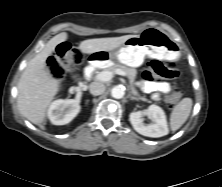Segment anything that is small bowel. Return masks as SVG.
<instances>
[{
  "label": "small bowel",
  "mask_w": 222,
  "mask_h": 187,
  "mask_svg": "<svg viewBox=\"0 0 222 187\" xmlns=\"http://www.w3.org/2000/svg\"><path fill=\"white\" fill-rule=\"evenodd\" d=\"M140 87L146 93H150L154 100H159L162 93L170 89V85L164 81H141Z\"/></svg>",
  "instance_id": "c3829d8e"
}]
</instances>
